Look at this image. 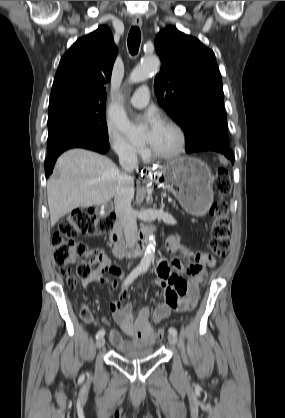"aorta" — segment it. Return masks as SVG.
Wrapping results in <instances>:
<instances>
[{
	"mask_svg": "<svg viewBox=\"0 0 285 418\" xmlns=\"http://www.w3.org/2000/svg\"><path fill=\"white\" fill-rule=\"evenodd\" d=\"M159 65V59L155 55L144 57L132 70L129 81L131 83H139L147 80L152 72L158 70ZM109 117L116 128L125 134L130 140H135L142 135L143 129L133 126L125 111L121 107L113 106L110 109ZM155 247V236L150 232L146 250L139 264V269L141 271L146 272L149 269L154 257Z\"/></svg>",
	"mask_w": 285,
	"mask_h": 418,
	"instance_id": "aorta-1",
	"label": "aorta"
}]
</instances>
